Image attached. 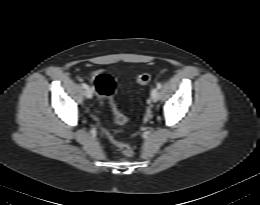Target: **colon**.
Returning <instances> with one entry per match:
<instances>
[{
    "label": "colon",
    "instance_id": "5ec220e1",
    "mask_svg": "<svg viewBox=\"0 0 260 205\" xmlns=\"http://www.w3.org/2000/svg\"><path fill=\"white\" fill-rule=\"evenodd\" d=\"M152 79V76L149 72H142L137 76V82L141 85L148 84ZM94 87L97 92V94L105 99L109 107L112 111V114L114 116V120L118 124H125L129 121L128 117L120 113L116 107V105L113 102V95L116 91V81L115 79L104 72H99L95 78H94ZM107 134L111 138V140L114 142V144L126 155V156H132L133 150L132 148L125 142L118 140L115 138L111 133L107 131Z\"/></svg>",
    "mask_w": 260,
    "mask_h": 205
}]
</instances>
